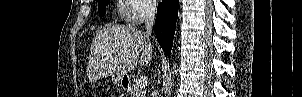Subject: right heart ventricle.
Masks as SVG:
<instances>
[{"instance_id": "right-heart-ventricle-1", "label": "right heart ventricle", "mask_w": 302, "mask_h": 97, "mask_svg": "<svg viewBox=\"0 0 302 97\" xmlns=\"http://www.w3.org/2000/svg\"><path fill=\"white\" fill-rule=\"evenodd\" d=\"M120 12L122 14H124L126 12V7H124V6L120 7Z\"/></svg>"}]
</instances>
